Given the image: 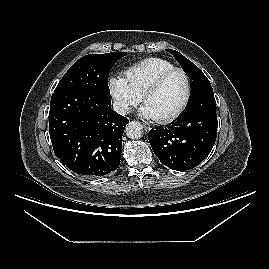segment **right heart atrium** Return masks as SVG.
Listing matches in <instances>:
<instances>
[{
  "mask_svg": "<svg viewBox=\"0 0 269 269\" xmlns=\"http://www.w3.org/2000/svg\"><path fill=\"white\" fill-rule=\"evenodd\" d=\"M108 91L116 111L120 114L128 113L141 99V96L131 89L125 77L119 75L109 78Z\"/></svg>",
  "mask_w": 269,
  "mask_h": 269,
  "instance_id": "obj_1",
  "label": "right heart atrium"
}]
</instances>
